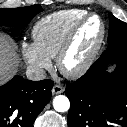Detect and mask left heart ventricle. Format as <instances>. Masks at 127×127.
<instances>
[{"label": "left heart ventricle", "instance_id": "obj_1", "mask_svg": "<svg viewBox=\"0 0 127 127\" xmlns=\"http://www.w3.org/2000/svg\"><path fill=\"white\" fill-rule=\"evenodd\" d=\"M101 33V23L96 17H92L85 22L79 30L73 47L66 60L69 68L80 65L96 44Z\"/></svg>", "mask_w": 127, "mask_h": 127}]
</instances>
